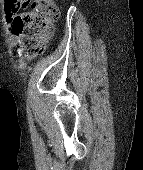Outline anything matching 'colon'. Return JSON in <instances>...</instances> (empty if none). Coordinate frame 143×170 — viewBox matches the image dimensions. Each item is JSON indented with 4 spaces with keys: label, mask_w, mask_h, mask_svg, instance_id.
<instances>
[{
    "label": "colon",
    "mask_w": 143,
    "mask_h": 170,
    "mask_svg": "<svg viewBox=\"0 0 143 170\" xmlns=\"http://www.w3.org/2000/svg\"><path fill=\"white\" fill-rule=\"evenodd\" d=\"M14 0H4L5 12L12 19V29L21 34L18 55L32 59L45 48L53 33V23L58 17L55 0H33L31 11L16 15L10 5Z\"/></svg>",
    "instance_id": "colon-1"
}]
</instances>
